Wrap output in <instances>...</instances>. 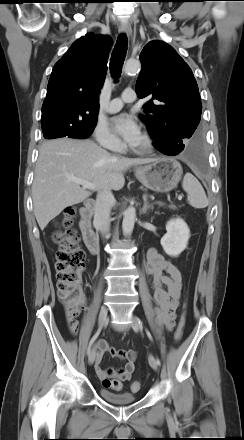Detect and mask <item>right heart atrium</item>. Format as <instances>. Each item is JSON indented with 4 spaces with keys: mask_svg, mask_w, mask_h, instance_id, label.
I'll use <instances>...</instances> for the list:
<instances>
[{
    "mask_svg": "<svg viewBox=\"0 0 244 440\" xmlns=\"http://www.w3.org/2000/svg\"><path fill=\"white\" fill-rule=\"evenodd\" d=\"M94 136L97 142L104 148L117 150L121 146L120 140L112 133L105 122H99L97 124Z\"/></svg>",
    "mask_w": 244,
    "mask_h": 440,
    "instance_id": "d8ad5b80",
    "label": "right heart atrium"
}]
</instances>
